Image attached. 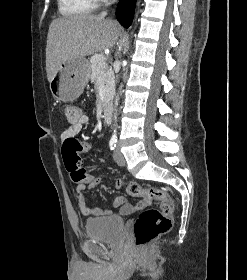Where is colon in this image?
<instances>
[{
  "label": "colon",
  "instance_id": "1",
  "mask_svg": "<svg viewBox=\"0 0 247 280\" xmlns=\"http://www.w3.org/2000/svg\"><path fill=\"white\" fill-rule=\"evenodd\" d=\"M64 114L67 120L72 123L79 118L81 113L76 106L68 104L64 107ZM90 149L89 144L81 143L76 139H69L62 146L64 164L72 181L76 183L78 188L86 191H93L95 185L108 183L107 177L87 176L82 166L80 153L88 152ZM115 186L120 188L122 184L116 182ZM125 190L132 197H142L146 203L158 201L160 204L159 208L145 209L137 217L133 227L136 246L143 247L169 231L172 226L174 202L166 190L154 187L143 188L134 182L127 184Z\"/></svg>",
  "mask_w": 247,
  "mask_h": 280
}]
</instances>
